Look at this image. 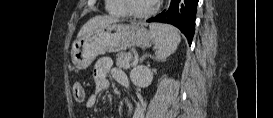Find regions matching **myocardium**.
<instances>
[{"label": "myocardium", "mask_w": 273, "mask_h": 118, "mask_svg": "<svg viewBox=\"0 0 273 118\" xmlns=\"http://www.w3.org/2000/svg\"><path fill=\"white\" fill-rule=\"evenodd\" d=\"M124 5H125L126 13L132 17H135V18L150 17L153 14H155L156 11L158 10V4L156 1H153L151 7L147 11H144V12H137V11L133 10L131 7V0H124Z\"/></svg>", "instance_id": "f54148a6"}]
</instances>
